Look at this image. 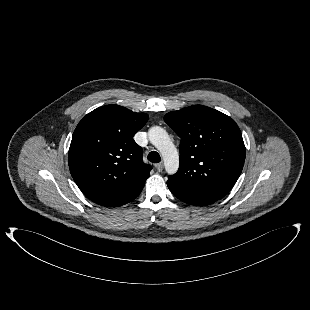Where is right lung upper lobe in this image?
Instances as JSON below:
<instances>
[{
	"instance_id": "cb5924a9",
	"label": "right lung upper lobe",
	"mask_w": 310,
	"mask_h": 310,
	"mask_svg": "<svg viewBox=\"0 0 310 310\" xmlns=\"http://www.w3.org/2000/svg\"><path fill=\"white\" fill-rule=\"evenodd\" d=\"M148 121L119 105L88 113L77 125L68 153L71 175L93 202L118 207L135 199L149 177L142 148L133 136Z\"/></svg>"
}]
</instances>
